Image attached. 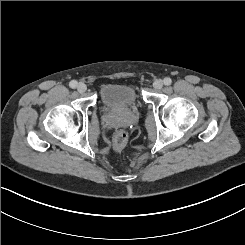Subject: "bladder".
<instances>
[{
	"label": "bladder",
	"instance_id": "bladder-1",
	"mask_svg": "<svg viewBox=\"0 0 245 245\" xmlns=\"http://www.w3.org/2000/svg\"><path fill=\"white\" fill-rule=\"evenodd\" d=\"M101 93L107 108L126 110L138 103L137 91L131 85H104Z\"/></svg>",
	"mask_w": 245,
	"mask_h": 245
}]
</instances>
